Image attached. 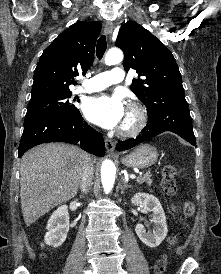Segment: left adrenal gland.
Masks as SVG:
<instances>
[{
    "label": "left adrenal gland",
    "instance_id": "obj_1",
    "mask_svg": "<svg viewBox=\"0 0 221 274\" xmlns=\"http://www.w3.org/2000/svg\"><path fill=\"white\" fill-rule=\"evenodd\" d=\"M121 186H120V189L122 190V191H124L125 189H127V188H132V186L131 185H129V184H127V182L125 181V179L122 177V179H121Z\"/></svg>",
    "mask_w": 221,
    "mask_h": 274
}]
</instances>
